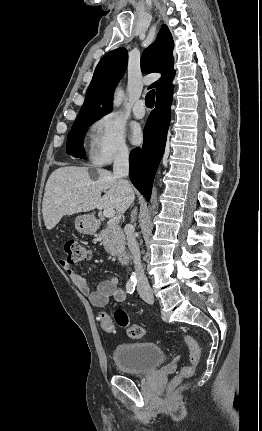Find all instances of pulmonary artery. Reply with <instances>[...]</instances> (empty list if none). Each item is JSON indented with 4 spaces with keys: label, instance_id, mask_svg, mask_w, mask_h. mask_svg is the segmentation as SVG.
Here are the masks:
<instances>
[{
    "label": "pulmonary artery",
    "instance_id": "e3ab8cb5",
    "mask_svg": "<svg viewBox=\"0 0 262 431\" xmlns=\"http://www.w3.org/2000/svg\"><path fill=\"white\" fill-rule=\"evenodd\" d=\"M144 101L141 99H138L134 105H133V114L136 118H143L146 114V111L143 107Z\"/></svg>",
    "mask_w": 262,
    "mask_h": 431
}]
</instances>
